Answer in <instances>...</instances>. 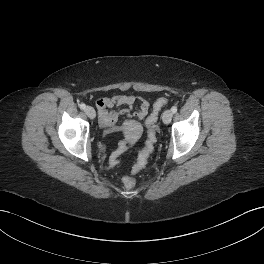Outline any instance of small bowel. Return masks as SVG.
Segmentation results:
<instances>
[{
    "mask_svg": "<svg viewBox=\"0 0 264 264\" xmlns=\"http://www.w3.org/2000/svg\"><path fill=\"white\" fill-rule=\"evenodd\" d=\"M138 103V108L133 111V106ZM95 106L99 115V123L106 129L107 133L121 132L131 126V121H127L122 125L117 124L118 119L122 115L127 117H135L137 120H144L150 108V103L143 98H137L133 95H117L114 97H101L95 101ZM124 107V109H120ZM127 148V140L124 139L119 143L116 150L110 157V162L114 166L118 163L120 155Z\"/></svg>",
    "mask_w": 264,
    "mask_h": 264,
    "instance_id": "obj_1",
    "label": "small bowel"
}]
</instances>
